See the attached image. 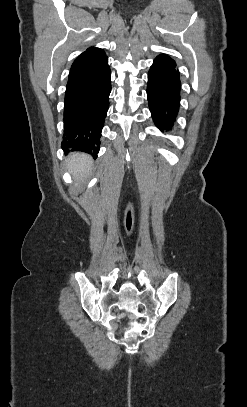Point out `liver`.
I'll use <instances>...</instances> for the list:
<instances>
[{"label": "liver", "instance_id": "1", "mask_svg": "<svg viewBox=\"0 0 247 407\" xmlns=\"http://www.w3.org/2000/svg\"><path fill=\"white\" fill-rule=\"evenodd\" d=\"M67 165L77 181L84 180L92 168V159L85 153L75 152L68 156Z\"/></svg>", "mask_w": 247, "mask_h": 407}]
</instances>
